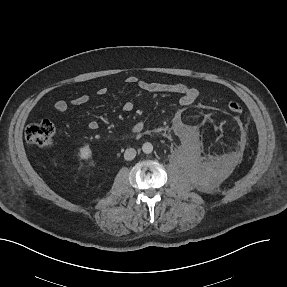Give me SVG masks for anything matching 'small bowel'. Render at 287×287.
<instances>
[{
  "label": "small bowel",
  "mask_w": 287,
  "mask_h": 287,
  "mask_svg": "<svg viewBox=\"0 0 287 287\" xmlns=\"http://www.w3.org/2000/svg\"><path fill=\"white\" fill-rule=\"evenodd\" d=\"M126 82L131 85H136L143 91L149 93H157V94H175L179 96V103L182 106H189L193 104L199 98V90L195 87L188 86L183 83H167V82H155V81H147L143 79H139L135 76H130L126 79ZM107 92L105 87H102L98 90V94L104 95ZM90 101L89 95H80L75 97L71 102H67L65 100H58L54 108L58 113H65L70 105H83ZM133 109V104L130 101H126L123 104L124 111H131ZM88 128L91 131H95L99 128V124L96 121H91L88 124ZM144 128L142 122H136L132 126V130L134 132H141Z\"/></svg>",
  "instance_id": "1"
}]
</instances>
